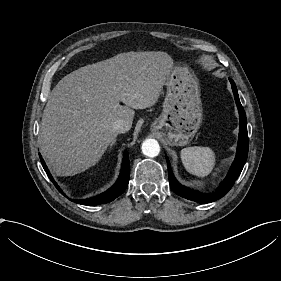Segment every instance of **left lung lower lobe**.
Here are the masks:
<instances>
[{
    "mask_svg": "<svg viewBox=\"0 0 281 281\" xmlns=\"http://www.w3.org/2000/svg\"><path fill=\"white\" fill-rule=\"evenodd\" d=\"M232 89H233V94L234 98L236 101V105L238 107L239 111V117H240V129H239V140H238V146H237V153H236V158L234 162L232 163L230 170L224 179V181L219 185V187L210 194H204L195 190H192L190 188H187L180 183L177 182L175 179L170 162L168 158L166 157L167 160V165H168V177H169V182H170V187L171 189L179 196L195 201L197 203H209L216 201L229 192V190L232 188L234 185L236 179L240 175L244 164L247 159L248 155V133H247V120H246V114L245 111L240 103L239 100V95L238 91L236 88V85L232 79H229Z\"/></svg>",
    "mask_w": 281,
    "mask_h": 281,
    "instance_id": "1",
    "label": "left lung lower lobe"
}]
</instances>
